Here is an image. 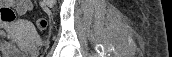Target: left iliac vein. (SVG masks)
<instances>
[{"instance_id":"1","label":"left iliac vein","mask_w":172,"mask_h":57,"mask_svg":"<svg viewBox=\"0 0 172 57\" xmlns=\"http://www.w3.org/2000/svg\"><path fill=\"white\" fill-rule=\"evenodd\" d=\"M50 3V5H53L54 1H48Z\"/></svg>"}]
</instances>
